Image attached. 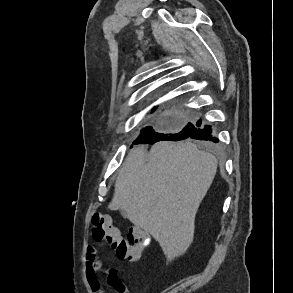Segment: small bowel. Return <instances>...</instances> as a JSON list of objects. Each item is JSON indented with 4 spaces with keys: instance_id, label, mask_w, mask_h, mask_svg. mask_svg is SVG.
I'll return each mask as SVG.
<instances>
[{
    "instance_id": "small-bowel-1",
    "label": "small bowel",
    "mask_w": 293,
    "mask_h": 293,
    "mask_svg": "<svg viewBox=\"0 0 293 293\" xmlns=\"http://www.w3.org/2000/svg\"><path fill=\"white\" fill-rule=\"evenodd\" d=\"M104 263L96 256V248L89 244L87 246V256L85 265L86 281L93 293H104L101 287L98 272L103 270ZM107 283L116 293H128V287L120 281L117 272L113 269L107 271Z\"/></svg>"
}]
</instances>
